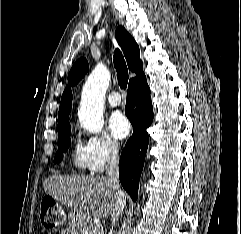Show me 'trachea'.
I'll use <instances>...</instances> for the list:
<instances>
[{
	"label": "trachea",
	"instance_id": "3493384b",
	"mask_svg": "<svg viewBox=\"0 0 241 234\" xmlns=\"http://www.w3.org/2000/svg\"><path fill=\"white\" fill-rule=\"evenodd\" d=\"M114 64L117 71L118 76V84L121 89H126L128 83V69L125 63V60L122 56V53L116 49L114 51Z\"/></svg>",
	"mask_w": 241,
	"mask_h": 234
}]
</instances>
